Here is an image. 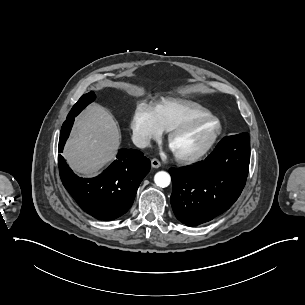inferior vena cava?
I'll list each match as a JSON object with an SVG mask.
<instances>
[{
    "label": "inferior vena cava",
    "mask_w": 305,
    "mask_h": 305,
    "mask_svg": "<svg viewBox=\"0 0 305 305\" xmlns=\"http://www.w3.org/2000/svg\"><path fill=\"white\" fill-rule=\"evenodd\" d=\"M132 141L134 145L139 148H145L150 144V138L138 132H135L133 134Z\"/></svg>",
    "instance_id": "inferior-vena-cava-1"
}]
</instances>
